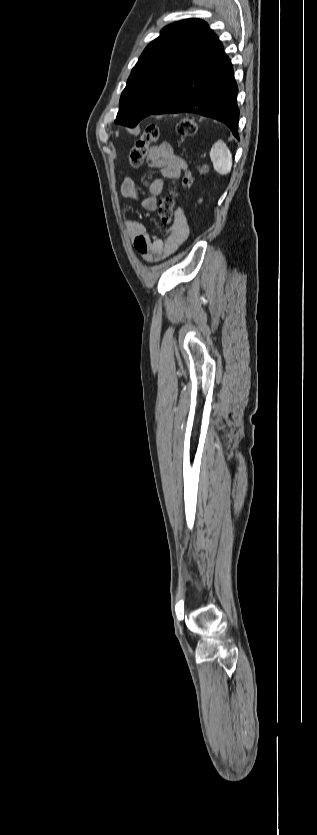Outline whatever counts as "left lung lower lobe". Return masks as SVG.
<instances>
[{"mask_svg": "<svg viewBox=\"0 0 317 835\" xmlns=\"http://www.w3.org/2000/svg\"><path fill=\"white\" fill-rule=\"evenodd\" d=\"M237 92L231 61L215 35L152 114L196 113L211 117L226 124L239 139Z\"/></svg>", "mask_w": 317, "mask_h": 835, "instance_id": "left-lung-lower-lobe-1", "label": "left lung lower lobe"}]
</instances>
